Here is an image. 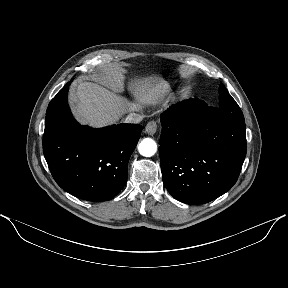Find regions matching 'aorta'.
<instances>
[{"instance_id": "1", "label": "aorta", "mask_w": 288, "mask_h": 288, "mask_svg": "<svg viewBox=\"0 0 288 288\" xmlns=\"http://www.w3.org/2000/svg\"><path fill=\"white\" fill-rule=\"evenodd\" d=\"M138 150L142 156L151 157L157 151L156 142L153 139L145 138L140 142Z\"/></svg>"}]
</instances>
